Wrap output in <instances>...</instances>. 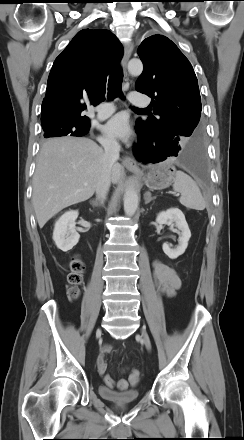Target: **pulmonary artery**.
<instances>
[{"mask_svg":"<svg viewBox=\"0 0 244 440\" xmlns=\"http://www.w3.org/2000/svg\"><path fill=\"white\" fill-rule=\"evenodd\" d=\"M129 100L131 103L137 106H146L148 104V99L145 95L139 92H131L129 95ZM115 110L113 103L104 102L97 107L98 116L101 119H104L111 115Z\"/></svg>","mask_w":244,"mask_h":440,"instance_id":"obj_1","label":"pulmonary artery"}]
</instances>
